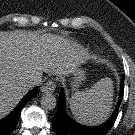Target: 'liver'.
I'll use <instances>...</instances> for the list:
<instances>
[{
  "label": "liver",
  "mask_w": 135,
  "mask_h": 135,
  "mask_svg": "<svg viewBox=\"0 0 135 135\" xmlns=\"http://www.w3.org/2000/svg\"><path fill=\"white\" fill-rule=\"evenodd\" d=\"M84 50L57 35L39 36L22 30L0 31V119L8 115L43 72L66 75L82 61Z\"/></svg>",
  "instance_id": "6515ba94"
}]
</instances>
